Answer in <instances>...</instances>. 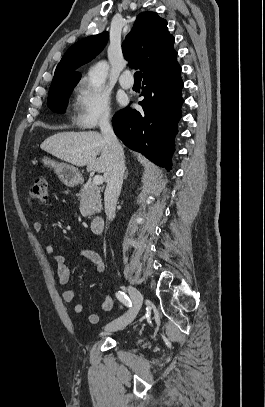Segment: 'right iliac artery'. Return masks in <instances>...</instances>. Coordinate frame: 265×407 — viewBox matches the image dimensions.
Masks as SVG:
<instances>
[{
	"instance_id": "1",
	"label": "right iliac artery",
	"mask_w": 265,
	"mask_h": 407,
	"mask_svg": "<svg viewBox=\"0 0 265 407\" xmlns=\"http://www.w3.org/2000/svg\"><path fill=\"white\" fill-rule=\"evenodd\" d=\"M116 297H117L118 300H119L120 302H122L125 306H127V307H131V306H132V303H131L130 298H129L124 292L118 291V292L116 293Z\"/></svg>"
}]
</instances>
